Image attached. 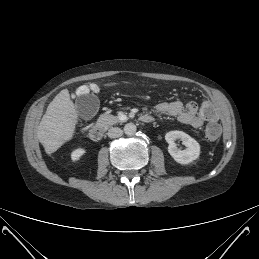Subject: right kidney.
I'll list each match as a JSON object with an SVG mask.
<instances>
[{
	"instance_id": "ca27d5eb",
	"label": "right kidney",
	"mask_w": 259,
	"mask_h": 259,
	"mask_svg": "<svg viewBox=\"0 0 259 259\" xmlns=\"http://www.w3.org/2000/svg\"><path fill=\"white\" fill-rule=\"evenodd\" d=\"M85 153H86V151L82 148H78V149L74 150L71 153L72 161L75 162V161L79 160Z\"/></svg>"
}]
</instances>
